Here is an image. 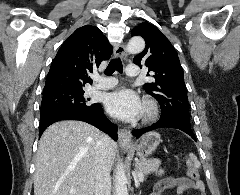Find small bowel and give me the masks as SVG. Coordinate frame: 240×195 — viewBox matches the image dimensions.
I'll use <instances>...</instances> for the list:
<instances>
[{"label":"small bowel","instance_id":"small-bowel-1","mask_svg":"<svg viewBox=\"0 0 240 195\" xmlns=\"http://www.w3.org/2000/svg\"><path fill=\"white\" fill-rule=\"evenodd\" d=\"M173 191L177 195L191 191H198L199 195H206L204 186H195V182L187 177H171L160 181L154 187L152 195H171Z\"/></svg>","mask_w":240,"mask_h":195}]
</instances>
